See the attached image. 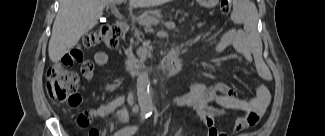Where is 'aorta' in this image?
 <instances>
[{
  "label": "aorta",
  "mask_w": 325,
  "mask_h": 136,
  "mask_svg": "<svg viewBox=\"0 0 325 136\" xmlns=\"http://www.w3.org/2000/svg\"><path fill=\"white\" fill-rule=\"evenodd\" d=\"M137 97L141 111L151 113L153 103L150 94V80L146 72L140 73L137 78Z\"/></svg>",
  "instance_id": "1"
}]
</instances>
